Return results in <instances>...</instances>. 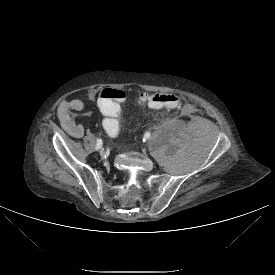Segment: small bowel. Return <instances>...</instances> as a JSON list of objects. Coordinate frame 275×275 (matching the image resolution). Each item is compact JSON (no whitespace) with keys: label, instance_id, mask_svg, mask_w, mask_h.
I'll list each match as a JSON object with an SVG mask.
<instances>
[{"label":"small bowel","instance_id":"1","mask_svg":"<svg viewBox=\"0 0 275 275\" xmlns=\"http://www.w3.org/2000/svg\"><path fill=\"white\" fill-rule=\"evenodd\" d=\"M103 92V91H102ZM97 93L90 91L88 96L91 99L97 98ZM83 103L79 99H72L69 103L61 106L60 120L65 130L74 138H81L84 135V128L82 125L77 124L72 117H79L83 113ZM72 116V117H71Z\"/></svg>","mask_w":275,"mask_h":275}]
</instances>
